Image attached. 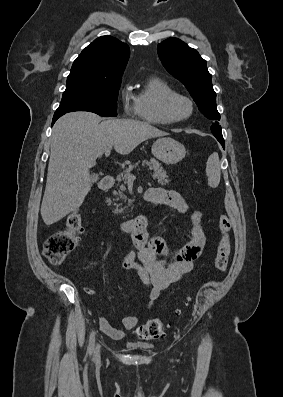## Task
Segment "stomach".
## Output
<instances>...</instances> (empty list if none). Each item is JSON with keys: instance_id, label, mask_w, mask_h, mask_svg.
<instances>
[{"instance_id": "0dacf381", "label": "stomach", "mask_w": 283, "mask_h": 397, "mask_svg": "<svg viewBox=\"0 0 283 397\" xmlns=\"http://www.w3.org/2000/svg\"><path fill=\"white\" fill-rule=\"evenodd\" d=\"M153 155L167 165L181 161L186 154L183 144L170 137L159 138L152 145Z\"/></svg>"}]
</instances>
